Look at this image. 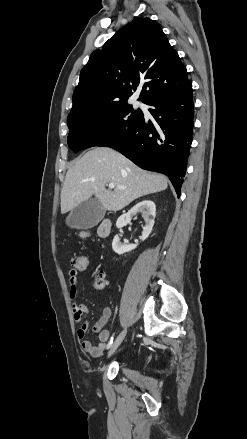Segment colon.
<instances>
[{"label":"colon","instance_id":"obj_1","mask_svg":"<svg viewBox=\"0 0 247 439\" xmlns=\"http://www.w3.org/2000/svg\"><path fill=\"white\" fill-rule=\"evenodd\" d=\"M88 236L89 234L87 232H82L80 234L81 238H87ZM88 263V258L85 255L76 256L71 261L72 269L78 272L85 271L88 267ZM104 282V274L102 272H97L95 274V286L101 288L104 285Z\"/></svg>","mask_w":247,"mask_h":439}]
</instances>
